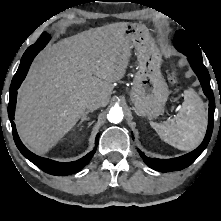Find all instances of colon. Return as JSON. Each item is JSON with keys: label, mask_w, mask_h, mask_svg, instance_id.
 I'll use <instances>...</instances> for the list:
<instances>
[{"label": "colon", "mask_w": 221, "mask_h": 221, "mask_svg": "<svg viewBox=\"0 0 221 221\" xmlns=\"http://www.w3.org/2000/svg\"><path fill=\"white\" fill-rule=\"evenodd\" d=\"M179 78H180L179 73H178L177 69L174 68L171 71L170 79L173 83H177L179 81Z\"/></svg>", "instance_id": "1"}]
</instances>
